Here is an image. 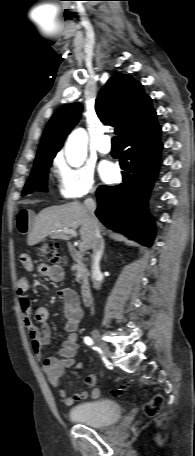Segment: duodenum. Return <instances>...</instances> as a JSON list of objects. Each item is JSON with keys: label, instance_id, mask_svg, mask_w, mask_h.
<instances>
[{"label": "duodenum", "instance_id": "1", "mask_svg": "<svg viewBox=\"0 0 195 456\" xmlns=\"http://www.w3.org/2000/svg\"><path fill=\"white\" fill-rule=\"evenodd\" d=\"M69 253L75 261H77V262L82 261L81 254L73 246H69ZM81 296H82V300H83L84 304L88 305L91 303L92 292H91V289H90V286L88 285V283H84L82 285Z\"/></svg>", "mask_w": 195, "mask_h": 456}]
</instances>
